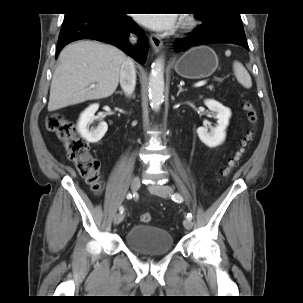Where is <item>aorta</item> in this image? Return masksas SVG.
Returning a JSON list of instances; mask_svg holds the SVG:
<instances>
[{
  "mask_svg": "<svg viewBox=\"0 0 303 303\" xmlns=\"http://www.w3.org/2000/svg\"><path fill=\"white\" fill-rule=\"evenodd\" d=\"M149 100L151 107L158 111L164 101V59L159 57L153 64L149 77Z\"/></svg>",
  "mask_w": 303,
  "mask_h": 303,
  "instance_id": "obj_1",
  "label": "aorta"
}]
</instances>
